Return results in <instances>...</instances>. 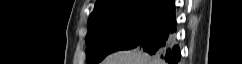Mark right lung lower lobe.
<instances>
[{
  "label": "right lung lower lobe",
  "instance_id": "1",
  "mask_svg": "<svg viewBox=\"0 0 242 64\" xmlns=\"http://www.w3.org/2000/svg\"><path fill=\"white\" fill-rule=\"evenodd\" d=\"M156 28L137 46L150 55L160 57L168 64H178L181 60L179 45L175 42L177 22L175 8L164 14Z\"/></svg>",
  "mask_w": 242,
  "mask_h": 64
}]
</instances>
